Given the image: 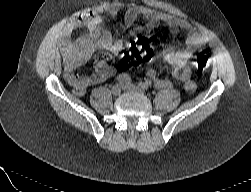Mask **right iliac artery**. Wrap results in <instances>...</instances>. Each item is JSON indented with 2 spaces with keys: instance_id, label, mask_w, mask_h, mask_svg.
Returning a JSON list of instances; mask_svg holds the SVG:
<instances>
[{
  "instance_id": "1",
  "label": "right iliac artery",
  "mask_w": 251,
  "mask_h": 192,
  "mask_svg": "<svg viewBox=\"0 0 251 192\" xmlns=\"http://www.w3.org/2000/svg\"><path fill=\"white\" fill-rule=\"evenodd\" d=\"M116 81H117L119 84L130 83L131 78H130V76L127 75V74H119V75L116 77Z\"/></svg>"
}]
</instances>
